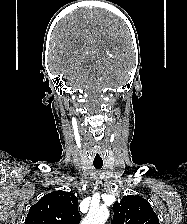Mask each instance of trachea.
<instances>
[{"instance_id": "3493384b", "label": "trachea", "mask_w": 187, "mask_h": 224, "mask_svg": "<svg viewBox=\"0 0 187 224\" xmlns=\"http://www.w3.org/2000/svg\"><path fill=\"white\" fill-rule=\"evenodd\" d=\"M95 169L99 170L103 166V162H93Z\"/></svg>"}]
</instances>
